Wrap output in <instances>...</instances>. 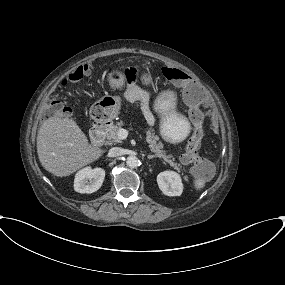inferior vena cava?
<instances>
[{
    "label": "inferior vena cava",
    "mask_w": 285,
    "mask_h": 285,
    "mask_svg": "<svg viewBox=\"0 0 285 285\" xmlns=\"http://www.w3.org/2000/svg\"><path fill=\"white\" fill-rule=\"evenodd\" d=\"M110 157H118L124 154V150L120 147H113L109 150Z\"/></svg>",
    "instance_id": "inferior-vena-cava-1"
}]
</instances>
